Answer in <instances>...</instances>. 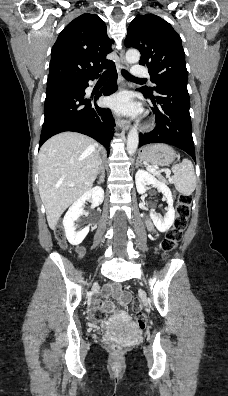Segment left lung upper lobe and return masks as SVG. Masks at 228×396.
I'll return each instance as SVG.
<instances>
[{"label": "left lung upper lobe", "mask_w": 228, "mask_h": 396, "mask_svg": "<svg viewBox=\"0 0 228 396\" xmlns=\"http://www.w3.org/2000/svg\"><path fill=\"white\" fill-rule=\"evenodd\" d=\"M126 47L140 51L141 65H147L155 87L141 88L155 93L162 85L178 83L187 85L185 53L181 38L164 19L154 15H138L130 24L125 39Z\"/></svg>", "instance_id": "left-lung-upper-lobe-1"}]
</instances>
